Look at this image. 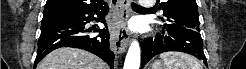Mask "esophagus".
I'll return each mask as SVG.
<instances>
[{"label":"esophagus","instance_id":"1","mask_svg":"<svg viewBox=\"0 0 246 69\" xmlns=\"http://www.w3.org/2000/svg\"><path fill=\"white\" fill-rule=\"evenodd\" d=\"M130 0H119L118 21L113 25L110 31V48L115 54L123 53L129 42V32L126 25V20L129 16L124 12V8H128Z\"/></svg>","mask_w":246,"mask_h":69}]
</instances>
